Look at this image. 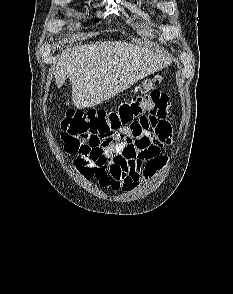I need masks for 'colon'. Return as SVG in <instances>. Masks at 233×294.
<instances>
[{"label":"colon","mask_w":233,"mask_h":294,"mask_svg":"<svg viewBox=\"0 0 233 294\" xmlns=\"http://www.w3.org/2000/svg\"><path fill=\"white\" fill-rule=\"evenodd\" d=\"M138 110H146V115H138ZM148 114L166 119L170 117L167 94L152 91L125 101L110 111L70 109L61 123L64 149L78 157L103 156L106 148L118 143H131V137H125V132H129L127 123Z\"/></svg>","instance_id":"colon-1"}]
</instances>
